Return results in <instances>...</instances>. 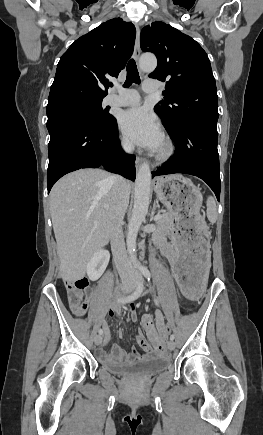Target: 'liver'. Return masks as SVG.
Returning <instances> with one entry per match:
<instances>
[{
	"label": "liver",
	"instance_id": "liver-1",
	"mask_svg": "<svg viewBox=\"0 0 263 435\" xmlns=\"http://www.w3.org/2000/svg\"><path fill=\"white\" fill-rule=\"evenodd\" d=\"M110 177L100 169L78 170L61 178L50 192L63 281L83 278L93 254L109 242L113 187ZM126 185L130 191L131 183L126 181Z\"/></svg>",
	"mask_w": 263,
	"mask_h": 435
}]
</instances>
